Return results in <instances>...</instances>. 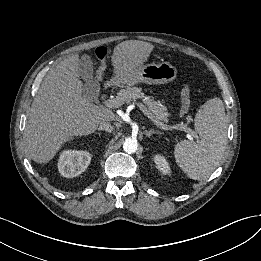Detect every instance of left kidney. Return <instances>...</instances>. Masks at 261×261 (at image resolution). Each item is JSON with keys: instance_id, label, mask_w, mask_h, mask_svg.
Segmentation results:
<instances>
[{"instance_id": "left-kidney-1", "label": "left kidney", "mask_w": 261, "mask_h": 261, "mask_svg": "<svg viewBox=\"0 0 261 261\" xmlns=\"http://www.w3.org/2000/svg\"><path fill=\"white\" fill-rule=\"evenodd\" d=\"M154 162L158 168L163 174H169L170 173V166L168 161L163 155H155L154 156Z\"/></svg>"}]
</instances>
